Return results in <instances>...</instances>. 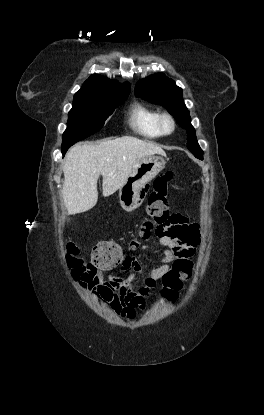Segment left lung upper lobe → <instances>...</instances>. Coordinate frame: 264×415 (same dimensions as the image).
<instances>
[{"label":"left lung upper lobe","instance_id":"obj_1","mask_svg":"<svg viewBox=\"0 0 264 415\" xmlns=\"http://www.w3.org/2000/svg\"><path fill=\"white\" fill-rule=\"evenodd\" d=\"M135 96L166 107L176 121L186 129L188 149L195 157L203 156V151L196 139L195 129L191 125L189 111L183 101L182 89L176 86L172 79L163 73L149 76L137 83Z\"/></svg>","mask_w":264,"mask_h":415}]
</instances>
